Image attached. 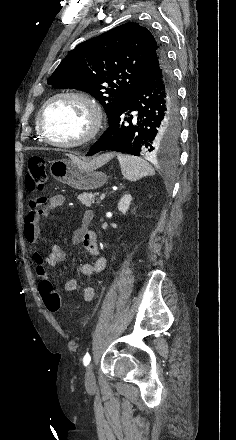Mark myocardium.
Returning <instances> with one entry per match:
<instances>
[{"label":"myocardium","instance_id":"myocardium-1","mask_svg":"<svg viewBox=\"0 0 236 440\" xmlns=\"http://www.w3.org/2000/svg\"><path fill=\"white\" fill-rule=\"evenodd\" d=\"M58 99H72L80 102L88 111L89 126L86 133L74 141L62 142L52 140L46 133L44 114L51 103ZM37 124L42 139L50 145L62 148H75L93 141L99 134L103 124V110L99 102L91 95L78 90H65L53 94L42 105L37 116Z\"/></svg>","mask_w":236,"mask_h":440}]
</instances>
